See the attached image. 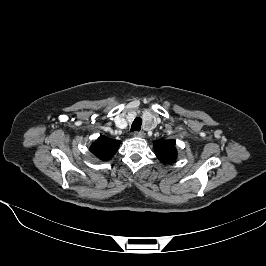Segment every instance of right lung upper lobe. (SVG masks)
I'll return each instance as SVG.
<instances>
[{
	"mask_svg": "<svg viewBox=\"0 0 266 266\" xmlns=\"http://www.w3.org/2000/svg\"><path fill=\"white\" fill-rule=\"evenodd\" d=\"M120 141L100 136L90 147V151L100 160L111 159L119 148Z\"/></svg>",
	"mask_w": 266,
	"mask_h": 266,
	"instance_id": "1",
	"label": "right lung upper lobe"
}]
</instances>
